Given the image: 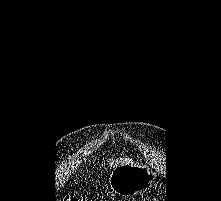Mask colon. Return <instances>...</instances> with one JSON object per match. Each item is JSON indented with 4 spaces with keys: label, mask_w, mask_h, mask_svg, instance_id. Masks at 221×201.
<instances>
[{
    "label": "colon",
    "mask_w": 221,
    "mask_h": 201,
    "mask_svg": "<svg viewBox=\"0 0 221 201\" xmlns=\"http://www.w3.org/2000/svg\"><path fill=\"white\" fill-rule=\"evenodd\" d=\"M62 201H79V200L75 197H65L64 199H62Z\"/></svg>",
    "instance_id": "1"
}]
</instances>
